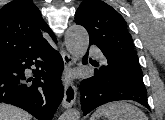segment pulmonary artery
I'll list each match as a JSON object with an SVG mask.
<instances>
[{"mask_svg": "<svg viewBox=\"0 0 165 120\" xmlns=\"http://www.w3.org/2000/svg\"><path fill=\"white\" fill-rule=\"evenodd\" d=\"M90 52L98 58L102 57L101 52L97 48L94 47L90 48Z\"/></svg>", "mask_w": 165, "mask_h": 120, "instance_id": "pulmonary-artery-1", "label": "pulmonary artery"}]
</instances>
